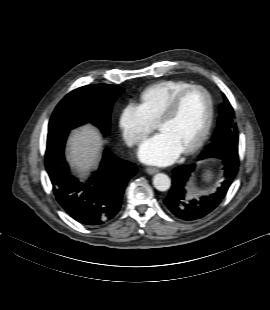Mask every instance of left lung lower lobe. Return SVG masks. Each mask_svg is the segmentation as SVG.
<instances>
[{"instance_id": "1", "label": "left lung lower lobe", "mask_w": 270, "mask_h": 310, "mask_svg": "<svg viewBox=\"0 0 270 310\" xmlns=\"http://www.w3.org/2000/svg\"><path fill=\"white\" fill-rule=\"evenodd\" d=\"M222 160L225 169V180L222 186L218 188L216 193L211 196L200 197L198 201L195 199L188 201L184 189L185 182L195 165H183L174 169L172 186L164 202L176 217L187 221L199 219L209 214L221 203L237 175L239 166L238 155L226 157Z\"/></svg>"}]
</instances>
